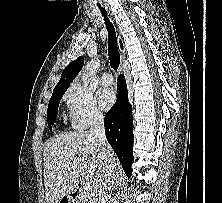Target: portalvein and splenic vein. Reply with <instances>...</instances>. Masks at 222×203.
I'll return each instance as SVG.
<instances>
[{
    "label": "portal vein and splenic vein",
    "mask_w": 222,
    "mask_h": 203,
    "mask_svg": "<svg viewBox=\"0 0 222 203\" xmlns=\"http://www.w3.org/2000/svg\"><path fill=\"white\" fill-rule=\"evenodd\" d=\"M79 172L82 173V168H79ZM83 188L85 190H90L91 189V184L87 181H82Z\"/></svg>",
    "instance_id": "obj_1"
}]
</instances>
